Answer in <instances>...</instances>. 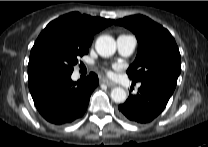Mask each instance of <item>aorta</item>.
<instances>
[{
  "mask_svg": "<svg viewBox=\"0 0 208 147\" xmlns=\"http://www.w3.org/2000/svg\"><path fill=\"white\" fill-rule=\"evenodd\" d=\"M97 53L102 57H110L116 52V42L109 35H101L95 43ZM111 99L115 103H123L127 99L125 90L121 87H116L111 91Z\"/></svg>",
  "mask_w": 208,
  "mask_h": 147,
  "instance_id": "aorta-1",
  "label": "aorta"
}]
</instances>
